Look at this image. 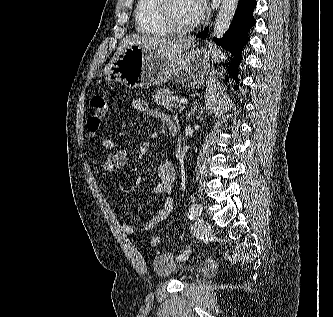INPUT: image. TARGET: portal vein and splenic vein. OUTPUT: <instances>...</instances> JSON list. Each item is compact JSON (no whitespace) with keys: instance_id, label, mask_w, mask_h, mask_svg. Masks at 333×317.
Masks as SVG:
<instances>
[{"instance_id":"1","label":"portal vein and splenic vein","mask_w":333,"mask_h":317,"mask_svg":"<svg viewBox=\"0 0 333 317\" xmlns=\"http://www.w3.org/2000/svg\"><path fill=\"white\" fill-rule=\"evenodd\" d=\"M171 101H176V103L178 105H184V104H187L188 103V100L187 99H184V98H176V97H172L171 98Z\"/></svg>"}]
</instances>
